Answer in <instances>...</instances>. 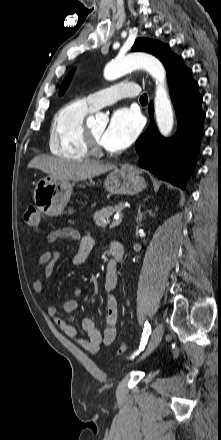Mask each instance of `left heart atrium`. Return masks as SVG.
<instances>
[{"label":"left heart atrium","instance_id":"39dd6f15","mask_svg":"<svg viewBox=\"0 0 221 440\" xmlns=\"http://www.w3.org/2000/svg\"><path fill=\"white\" fill-rule=\"evenodd\" d=\"M141 127V118L136 111L119 108L112 114L101 137V144L110 150L124 149L136 139Z\"/></svg>","mask_w":221,"mask_h":440}]
</instances>
